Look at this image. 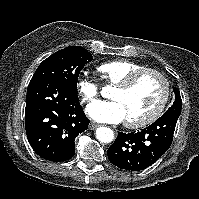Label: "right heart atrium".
<instances>
[{"mask_svg": "<svg viewBox=\"0 0 199 199\" xmlns=\"http://www.w3.org/2000/svg\"><path fill=\"white\" fill-rule=\"evenodd\" d=\"M77 92L84 102H93L99 94V84L90 78L81 77L77 81Z\"/></svg>", "mask_w": 199, "mask_h": 199, "instance_id": "1", "label": "right heart atrium"}]
</instances>
